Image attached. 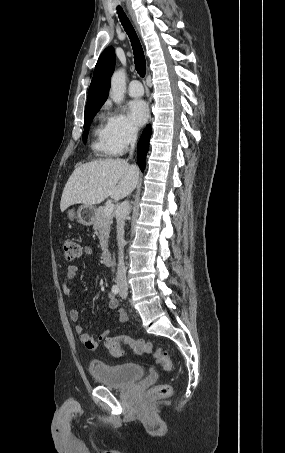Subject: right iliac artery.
<instances>
[{"mask_svg":"<svg viewBox=\"0 0 285 453\" xmlns=\"http://www.w3.org/2000/svg\"><path fill=\"white\" fill-rule=\"evenodd\" d=\"M112 292H113L114 294H118V293H119V287H118V285H113V286H112Z\"/></svg>","mask_w":285,"mask_h":453,"instance_id":"obj_1","label":"right iliac artery"}]
</instances>
